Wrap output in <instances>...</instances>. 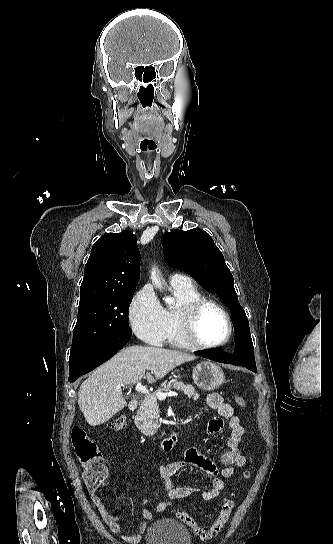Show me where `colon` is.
I'll use <instances>...</instances> for the list:
<instances>
[{
  "label": "colon",
  "mask_w": 333,
  "mask_h": 544,
  "mask_svg": "<svg viewBox=\"0 0 333 544\" xmlns=\"http://www.w3.org/2000/svg\"><path fill=\"white\" fill-rule=\"evenodd\" d=\"M234 400L238 406H246V401L243 397L235 395ZM126 423V417L119 415L113 418L108 426L113 431H120L125 428ZM72 443L76 456L83 467V479L86 486L89 490L100 489L107 480L108 472L96 443L84 428L78 426L72 430ZM248 476V473L244 474L245 478H248ZM233 506L234 502L232 499H225L219 514L208 528L201 527L187 512L177 511L176 516L189 526L201 540H209L215 538L224 528L230 518Z\"/></svg>",
  "instance_id": "colon-1"
}]
</instances>
